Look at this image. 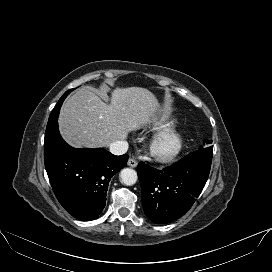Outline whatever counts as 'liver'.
Wrapping results in <instances>:
<instances>
[{
    "instance_id": "1",
    "label": "liver",
    "mask_w": 272,
    "mask_h": 272,
    "mask_svg": "<svg viewBox=\"0 0 272 272\" xmlns=\"http://www.w3.org/2000/svg\"><path fill=\"white\" fill-rule=\"evenodd\" d=\"M159 107L158 99L145 88H116L110 104L90 89L80 88L62 105L58 123L71 146L99 148L150 123Z\"/></svg>"
}]
</instances>
